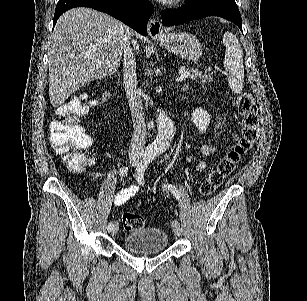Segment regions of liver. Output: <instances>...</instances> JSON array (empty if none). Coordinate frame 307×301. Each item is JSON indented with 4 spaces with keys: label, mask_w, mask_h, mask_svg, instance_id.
Masks as SVG:
<instances>
[{
    "label": "liver",
    "mask_w": 307,
    "mask_h": 301,
    "mask_svg": "<svg viewBox=\"0 0 307 301\" xmlns=\"http://www.w3.org/2000/svg\"><path fill=\"white\" fill-rule=\"evenodd\" d=\"M130 28L93 8H71L59 16L48 48L49 100L63 104L80 86L107 78L120 66ZM139 50L137 40H131Z\"/></svg>",
    "instance_id": "6515ba94"
}]
</instances>
